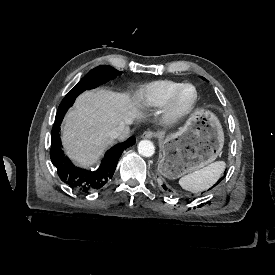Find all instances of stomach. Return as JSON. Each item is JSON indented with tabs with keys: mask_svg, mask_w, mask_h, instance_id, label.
Instances as JSON below:
<instances>
[{
	"mask_svg": "<svg viewBox=\"0 0 275 275\" xmlns=\"http://www.w3.org/2000/svg\"><path fill=\"white\" fill-rule=\"evenodd\" d=\"M162 152L158 171L177 179L214 162L224 145V132L217 116L196 110L175 133L158 132Z\"/></svg>",
	"mask_w": 275,
	"mask_h": 275,
	"instance_id": "0dacf381",
	"label": "stomach"
}]
</instances>
